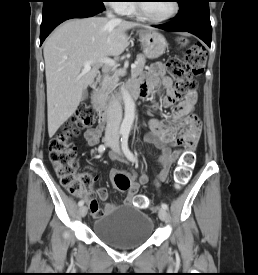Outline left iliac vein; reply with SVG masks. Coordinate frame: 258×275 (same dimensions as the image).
Listing matches in <instances>:
<instances>
[{
    "mask_svg": "<svg viewBox=\"0 0 258 275\" xmlns=\"http://www.w3.org/2000/svg\"><path fill=\"white\" fill-rule=\"evenodd\" d=\"M113 152H115L118 155H121V151H120V147H119V141L116 139L112 142V144L110 145ZM168 217L167 211L165 209H160L159 210V218L162 221H166Z\"/></svg>",
    "mask_w": 258,
    "mask_h": 275,
    "instance_id": "obj_1",
    "label": "left iliac vein"
}]
</instances>
